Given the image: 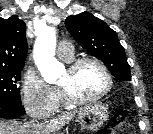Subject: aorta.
<instances>
[{"mask_svg":"<svg viewBox=\"0 0 153 134\" xmlns=\"http://www.w3.org/2000/svg\"><path fill=\"white\" fill-rule=\"evenodd\" d=\"M55 29L45 27L37 36L34 45V60L45 82L52 84L57 80L62 65L55 59Z\"/></svg>","mask_w":153,"mask_h":134,"instance_id":"762f6f07","label":"aorta"}]
</instances>
